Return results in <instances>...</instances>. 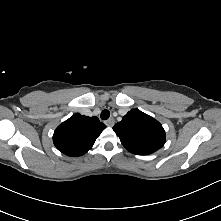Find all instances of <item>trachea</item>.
I'll return each mask as SVG.
<instances>
[{
  "mask_svg": "<svg viewBox=\"0 0 221 221\" xmlns=\"http://www.w3.org/2000/svg\"><path fill=\"white\" fill-rule=\"evenodd\" d=\"M100 117L102 120H107L110 117V112L107 109H104L101 112Z\"/></svg>",
  "mask_w": 221,
  "mask_h": 221,
  "instance_id": "1",
  "label": "trachea"
}]
</instances>
